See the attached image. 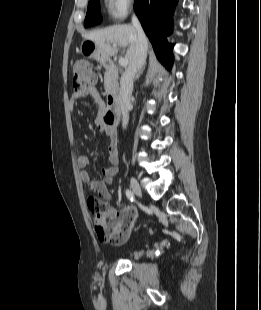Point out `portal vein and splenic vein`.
<instances>
[{
    "label": "portal vein and splenic vein",
    "instance_id": "1",
    "mask_svg": "<svg viewBox=\"0 0 261 310\" xmlns=\"http://www.w3.org/2000/svg\"><path fill=\"white\" fill-rule=\"evenodd\" d=\"M115 46V45H114ZM119 64L121 65V66H127L128 65V60L127 59H125V58H119Z\"/></svg>",
    "mask_w": 261,
    "mask_h": 310
}]
</instances>
